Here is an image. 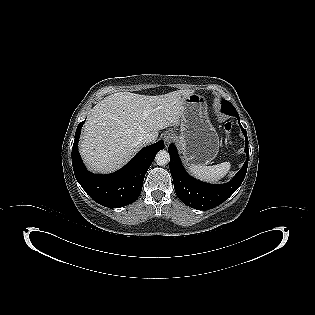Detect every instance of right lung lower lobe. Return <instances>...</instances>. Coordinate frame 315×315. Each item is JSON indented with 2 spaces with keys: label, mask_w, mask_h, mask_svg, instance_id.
<instances>
[{
  "label": "right lung lower lobe",
  "mask_w": 315,
  "mask_h": 315,
  "mask_svg": "<svg viewBox=\"0 0 315 315\" xmlns=\"http://www.w3.org/2000/svg\"><path fill=\"white\" fill-rule=\"evenodd\" d=\"M83 123L84 121L78 124L72 148V165L77 181L94 201L105 207L118 208L134 202L141 193L145 174L154 156L164 148V141L144 147L115 173L94 175L86 169L78 152Z\"/></svg>",
  "instance_id": "right-lung-lower-lobe-1"
}]
</instances>
